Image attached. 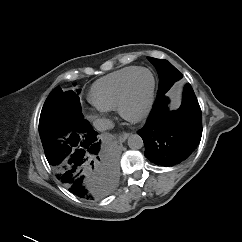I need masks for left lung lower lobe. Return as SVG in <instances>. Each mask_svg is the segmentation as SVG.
I'll list each match as a JSON object with an SVG mask.
<instances>
[{
    "label": "left lung lower lobe",
    "instance_id": "1",
    "mask_svg": "<svg viewBox=\"0 0 242 242\" xmlns=\"http://www.w3.org/2000/svg\"><path fill=\"white\" fill-rule=\"evenodd\" d=\"M168 103V97L158 96L146 124L138 131L145 156L165 167L185 161L202 136V113L190 84L184 87L179 109L169 110Z\"/></svg>",
    "mask_w": 242,
    "mask_h": 242
}]
</instances>
